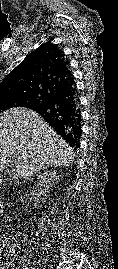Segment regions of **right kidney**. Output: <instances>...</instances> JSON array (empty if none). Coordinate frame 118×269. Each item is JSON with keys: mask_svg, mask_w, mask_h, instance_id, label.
Listing matches in <instances>:
<instances>
[{"mask_svg": "<svg viewBox=\"0 0 118 269\" xmlns=\"http://www.w3.org/2000/svg\"><path fill=\"white\" fill-rule=\"evenodd\" d=\"M58 179L56 171H46L37 178L35 184L41 189V193L46 195Z\"/></svg>", "mask_w": 118, "mask_h": 269, "instance_id": "obj_1", "label": "right kidney"}]
</instances>
